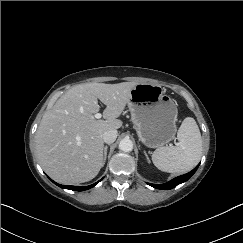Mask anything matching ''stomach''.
Wrapping results in <instances>:
<instances>
[{"label":"stomach","instance_id":"1","mask_svg":"<svg viewBox=\"0 0 243 243\" xmlns=\"http://www.w3.org/2000/svg\"><path fill=\"white\" fill-rule=\"evenodd\" d=\"M128 107L139 140L146 147L159 148L174 138L178 109L160 85L138 83Z\"/></svg>","mask_w":243,"mask_h":243}]
</instances>
